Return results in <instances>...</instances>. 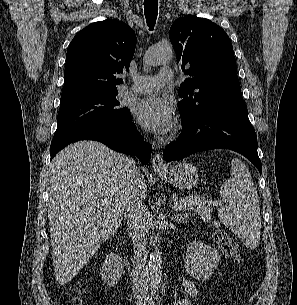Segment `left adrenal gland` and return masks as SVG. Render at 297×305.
I'll use <instances>...</instances> for the list:
<instances>
[{"mask_svg":"<svg viewBox=\"0 0 297 305\" xmlns=\"http://www.w3.org/2000/svg\"><path fill=\"white\" fill-rule=\"evenodd\" d=\"M186 215H177V222H182L185 219Z\"/></svg>","mask_w":297,"mask_h":305,"instance_id":"obj_1","label":"left adrenal gland"}]
</instances>
